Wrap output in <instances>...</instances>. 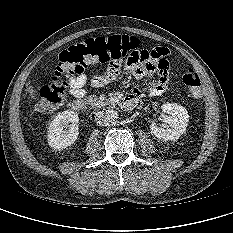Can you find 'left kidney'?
<instances>
[{"label":"left kidney","instance_id":"1","mask_svg":"<svg viewBox=\"0 0 233 233\" xmlns=\"http://www.w3.org/2000/svg\"><path fill=\"white\" fill-rule=\"evenodd\" d=\"M161 108L164 113L170 115H162L163 124L152 123L150 125L151 133L165 141L179 139L188 125L189 115L187 110L177 103H165Z\"/></svg>","mask_w":233,"mask_h":233}]
</instances>
